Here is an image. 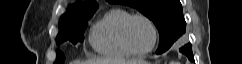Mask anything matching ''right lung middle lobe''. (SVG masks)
Returning a JSON list of instances; mask_svg holds the SVG:
<instances>
[{"mask_svg": "<svg viewBox=\"0 0 242 64\" xmlns=\"http://www.w3.org/2000/svg\"><path fill=\"white\" fill-rule=\"evenodd\" d=\"M95 12L87 14L74 22L59 24V33L57 35V45L59 46L64 41H70L73 44L84 40V29L88 25L87 20L91 18ZM65 60L64 54L57 50V61L55 64H61Z\"/></svg>", "mask_w": 242, "mask_h": 64, "instance_id": "right-lung-middle-lobe-1", "label": "right lung middle lobe"}]
</instances>
